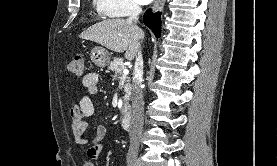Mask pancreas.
<instances>
[{
    "label": "pancreas",
    "instance_id": "obj_1",
    "mask_svg": "<svg viewBox=\"0 0 277 166\" xmlns=\"http://www.w3.org/2000/svg\"><path fill=\"white\" fill-rule=\"evenodd\" d=\"M108 69L114 73L112 75L114 79H121L124 75L123 70L125 69L123 59L115 58L108 66ZM130 92H131V84H130V79H128L126 81V88H125L126 94L124 96V104L121 110V113L124 115V117H126L130 113V106L128 104V101L130 100Z\"/></svg>",
    "mask_w": 277,
    "mask_h": 166
}]
</instances>
